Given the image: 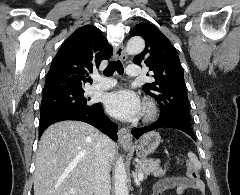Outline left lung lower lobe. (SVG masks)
I'll return each instance as SVG.
<instances>
[{"instance_id": "0a47b994", "label": "left lung lower lobe", "mask_w": 240, "mask_h": 195, "mask_svg": "<svg viewBox=\"0 0 240 195\" xmlns=\"http://www.w3.org/2000/svg\"><path fill=\"white\" fill-rule=\"evenodd\" d=\"M158 128L179 129L185 132L186 134L190 135L195 140V136L191 129L190 122L175 117L159 118L156 122L149 126L133 129L131 133L136 137V139H138L142 134Z\"/></svg>"}]
</instances>
